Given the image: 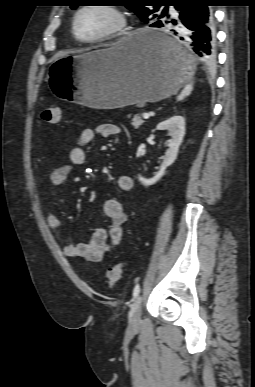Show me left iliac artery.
<instances>
[{
	"label": "left iliac artery",
	"instance_id": "left-iliac-artery-1",
	"mask_svg": "<svg viewBox=\"0 0 255 387\" xmlns=\"http://www.w3.org/2000/svg\"><path fill=\"white\" fill-rule=\"evenodd\" d=\"M139 292H140V285L137 284V285L134 287V289H133V296H134V297H137L138 294H139Z\"/></svg>",
	"mask_w": 255,
	"mask_h": 387
}]
</instances>
